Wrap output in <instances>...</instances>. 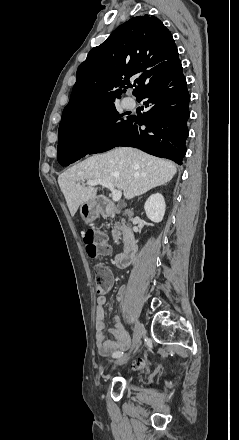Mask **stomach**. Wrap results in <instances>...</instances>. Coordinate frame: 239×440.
Segmentation results:
<instances>
[{"instance_id":"obj_1","label":"stomach","mask_w":239,"mask_h":440,"mask_svg":"<svg viewBox=\"0 0 239 440\" xmlns=\"http://www.w3.org/2000/svg\"><path fill=\"white\" fill-rule=\"evenodd\" d=\"M102 212V206L96 198L93 200H88V202H84L80 206V214L82 220L86 222V224H90V222H94L96 218H99V214Z\"/></svg>"}]
</instances>
